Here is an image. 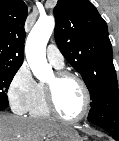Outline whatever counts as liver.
Returning a JSON list of instances; mask_svg holds the SVG:
<instances>
[{
	"instance_id": "6515ba94",
	"label": "liver",
	"mask_w": 119,
	"mask_h": 141,
	"mask_svg": "<svg viewBox=\"0 0 119 141\" xmlns=\"http://www.w3.org/2000/svg\"><path fill=\"white\" fill-rule=\"evenodd\" d=\"M63 126L46 119L0 114V141H43Z\"/></svg>"
}]
</instances>
